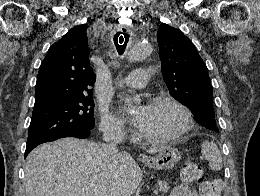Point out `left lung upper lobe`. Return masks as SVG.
<instances>
[{"instance_id":"left-lung-upper-lobe-1","label":"left lung upper lobe","mask_w":260,"mask_h":196,"mask_svg":"<svg viewBox=\"0 0 260 196\" xmlns=\"http://www.w3.org/2000/svg\"><path fill=\"white\" fill-rule=\"evenodd\" d=\"M162 73L170 95L192 112L213 108L208 70L194 44L180 30L165 23L158 27ZM219 132L216 122L204 126Z\"/></svg>"}]
</instances>
